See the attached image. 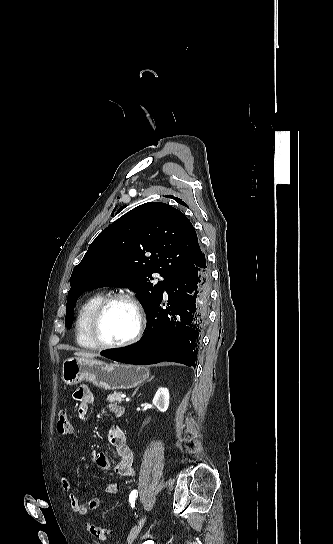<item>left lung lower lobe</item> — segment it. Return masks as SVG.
Segmentation results:
<instances>
[{"mask_svg":"<svg viewBox=\"0 0 333 544\" xmlns=\"http://www.w3.org/2000/svg\"><path fill=\"white\" fill-rule=\"evenodd\" d=\"M166 292L167 307H162V296L148 310V327L137 343L104 350L101 355L130 364L173 361L195 366L210 292V271L204 253L177 275Z\"/></svg>","mask_w":333,"mask_h":544,"instance_id":"obj_1","label":"left lung lower lobe"}]
</instances>
